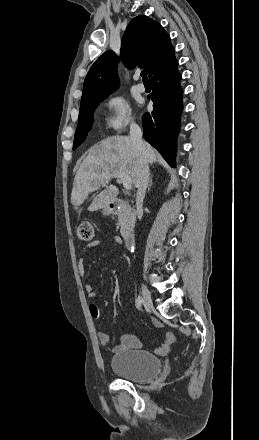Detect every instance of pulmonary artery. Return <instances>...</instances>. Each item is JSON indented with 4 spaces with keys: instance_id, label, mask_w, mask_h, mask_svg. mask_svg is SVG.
Masks as SVG:
<instances>
[{
    "instance_id": "1",
    "label": "pulmonary artery",
    "mask_w": 259,
    "mask_h": 440,
    "mask_svg": "<svg viewBox=\"0 0 259 440\" xmlns=\"http://www.w3.org/2000/svg\"><path fill=\"white\" fill-rule=\"evenodd\" d=\"M136 79H138V75H136ZM136 89H137L139 92H144V91H145V86H144L143 83H137V85H136Z\"/></svg>"
}]
</instances>
